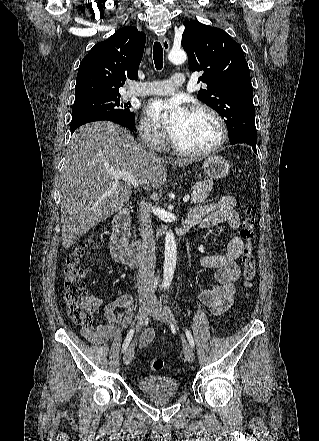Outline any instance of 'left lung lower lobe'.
<instances>
[{
  "instance_id": "0a47b994",
  "label": "left lung lower lobe",
  "mask_w": 319,
  "mask_h": 441,
  "mask_svg": "<svg viewBox=\"0 0 319 441\" xmlns=\"http://www.w3.org/2000/svg\"><path fill=\"white\" fill-rule=\"evenodd\" d=\"M256 142H257V140L255 138L244 137V138H241V139H238V140H232V141H230V144L245 143V144H248V145L252 146L254 152L257 153V151H256Z\"/></svg>"
}]
</instances>
